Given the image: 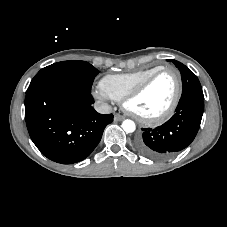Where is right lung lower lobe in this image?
I'll list each match as a JSON object with an SVG mask.
<instances>
[{
	"mask_svg": "<svg viewBox=\"0 0 227 227\" xmlns=\"http://www.w3.org/2000/svg\"><path fill=\"white\" fill-rule=\"evenodd\" d=\"M90 91L63 81H46L28 87L25 120L40 152L52 161L72 164L85 159L101 140L113 115L91 106Z\"/></svg>",
	"mask_w": 227,
	"mask_h": 227,
	"instance_id": "1",
	"label": "right lung lower lobe"
}]
</instances>
